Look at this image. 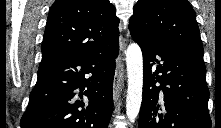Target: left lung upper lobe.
<instances>
[{
  "instance_id": "5c2ea615",
  "label": "left lung upper lobe",
  "mask_w": 221,
  "mask_h": 128,
  "mask_svg": "<svg viewBox=\"0 0 221 128\" xmlns=\"http://www.w3.org/2000/svg\"><path fill=\"white\" fill-rule=\"evenodd\" d=\"M129 27L139 41L166 42L203 59L195 12L187 0H138Z\"/></svg>"
}]
</instances>
